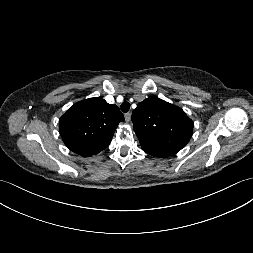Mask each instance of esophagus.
Segmentation results:
<instances>
[{
  "mask_svg": "<svg viewBox=\"0 0 253 253\" xmlns=\"http://www.w3.org/2000/svg\"><path fill=\"white\" fill-rule=\"evenodd\" d=\"M130 120H131V113L128 112V113L125 114V121L130 122Z\"/></svg>",
  "mask_w": 253,
  "mask_h": 253,
  "instance_id": "34e87169",
  "label": "esophagus"
}]
</instances>
